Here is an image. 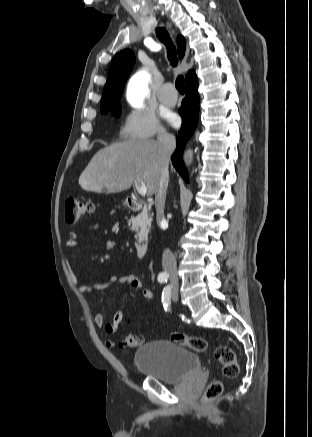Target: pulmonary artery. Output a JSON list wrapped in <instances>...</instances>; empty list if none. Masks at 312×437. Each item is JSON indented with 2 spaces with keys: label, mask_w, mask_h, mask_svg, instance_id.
I'll use <instances>...</instances> for the list:
<instances>
[{
  "label": "pulmonary artery",
  "mask_w": 312,
  "mask_h": 437,
  "mask_svg": "<svg viewBox=\"0 0 312 437\" xmlns=\"http://www.w3.org/2000/svg\"><path fill=\"white\" fill-rule=\"evenodd\" d=\"M173 86L170 83L163 85L161 88L158 98L161 103L167 106H174L177 102L178 96L175 91H173Z\"/></svg>",
  "instance_id": "pulmonary-artery-1"
}]
</instances>
